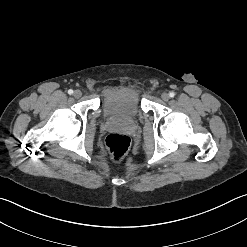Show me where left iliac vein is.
I'll use <instances>...</instances> for the list:
<instances>
[{
    "label": "left iliac vein",
    "mask_w": 247,
    "mask_h": 247,
    "mask_svg": "<svg viewBox=\"0 0 247 247\" xmlns=\"http://www.w3.org/2000/svg\"><path fill=\"white\" fill-rule=\"evenodd\" d=\"M161 98H162V100H164V101H168L169 98H170V96H169L168 93L163 92V93L161 94Z\"/></svg>",
    "instance_id": "obj_1"
}]
</instances>
